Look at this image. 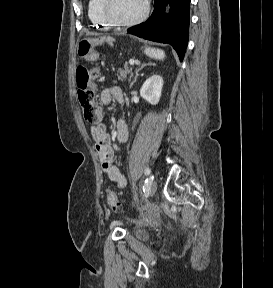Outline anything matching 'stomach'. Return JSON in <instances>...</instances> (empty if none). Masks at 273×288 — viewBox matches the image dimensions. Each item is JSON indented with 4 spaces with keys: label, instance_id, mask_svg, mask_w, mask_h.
Masks as SVG:
<instances>
[{
    "label": "stomach",
    "instance_id": "obj_1",
    "mask_svg": "<svg viewBox=\"0 0 273 288\" xmlns=\"http://www.w3.org/2000/svg\"><path fill=\"white\" fill-rule=\"evenodd\" d=\"M81 43H82V49H81L80 55L86 57L87 51L90 52L91 50H93V48L96 44V40L93 38H85L81 41ZM83 46H86L87 51H86V49H83Z\"/></svg>",
    "mask_w": 273,
    "mask_h": 288
}]
</instances>
